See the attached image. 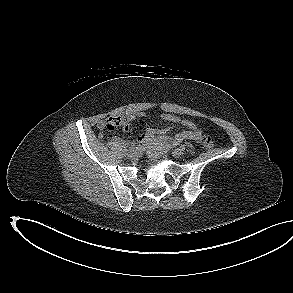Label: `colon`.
Returning <instances> with one entry per match:
<instances>
[{
	"label": "colon",
	"instance_id": "obj_1",
	"mask_svg": "<svg viewBox=\"0 0 293 293\" xmlns=\"http://www.w3.org/2000/svg\"><path fill=\"white\" fill-rule=\"evenodd\" d=\"M115 127H116V124L113 122H110L107 125V130L112 131ZM202 143L207 149H211L213 147V140L211 137H209L207 135L203 136ZM171 148H172L171 144H164V145L158 147L157 149L151 150L149 155L152 159H154V158H157V157L163 155L164 153L168 152Z\"/></svg>",
	"mask_w": 293,
	"mask_h": 293
}]
</instances>
